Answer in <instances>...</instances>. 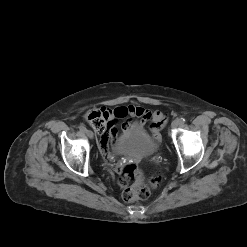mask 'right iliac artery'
<instances>
[{"label":"right iliac artery","mask_w":247,"mask_h":247,"mask_svg":"<svg viewBox=\"0 0 247 247\" xmlns=\"http://www.w3.org/2000/svg\"><path fill=\"white\" fill-rule=\"evenodd\" d=\"M79 129H80V131H82V132H86V127L84 126V125H80L79 126Z\"/></svg>","instance_id":"1"}]
</instances>
